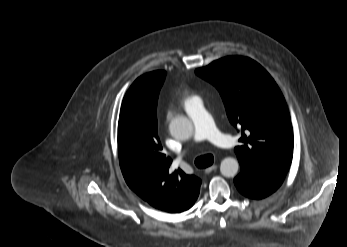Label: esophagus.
<instances>
[{"instance_id": "obj_1", "label": "esophagus", "mask_w": 347, "mask_h": 247, "mask_svg": "<svg viewBox=\"0 0 347 247\" xmlns=\"http://www.w3.org/2000/svg\"><path fill=\"white\" fill-rule=\"evenodd\" d=\"M216 169H217V165H216V164H213L212 166L207 167V168L205 169V172H206V173H210L211 171L216 170Z\"/></svg>"}]
</instances>
